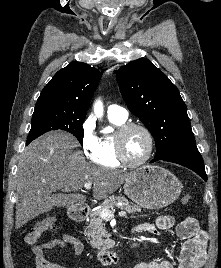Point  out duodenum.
<instances>
[{
    "label": "duodenum",
    "mask_w": 221,
    "mask_h": 268,
    "mask_svg": "<svg viewBox=\"0 0 221 268\" xmlns=\"http://www.w3.org/2000/svg\"><path fill=\"white\" fill-rule=\"evenodd\" d=\"M89 215V208L87 206H74L69 211V216L76 222L84 221ZM97 259L103 265L117 264L121 259V253L114 250H99L97 251Z\"/></svg>",
    "instance_id": "obj_1"
}]
</instances>
